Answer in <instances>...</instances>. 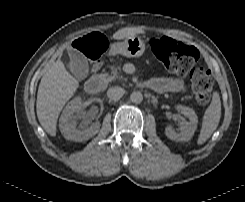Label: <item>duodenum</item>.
Instances as JSON below:
<instances>
[{
	"instance_id": "obj_1",
	"label": "duodenum",
	"mask_w": 245,
	"mask_h": 202,
	"mask_svg": "<svg viewBox=\"0 0 245 202\" xmlns=\"http://www.w3.org/2000/svg\"><path fill=\"white\" fill-rule=\"evenodd\" d=\"M106 84V77L103 74H99L86 83V91L91 95H98Z\"/></svg>"
}]
</instances>
